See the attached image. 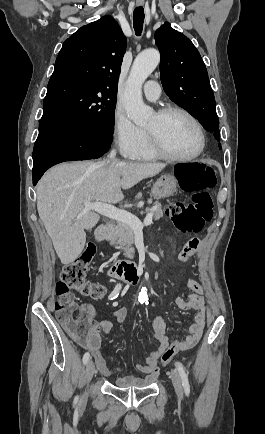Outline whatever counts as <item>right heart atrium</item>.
<instances>
[{
    "mask_svg": "<svg viewBox=\"0 0 265 434\" xmlns=\"http://www.w3.org/2000/svg\"><path fill=\"white\" fill-rule=\"evenodd\" d=\"M116 115L110 125L113 133V148H118L121 159H131L133 154H137V145H131L133 141H140L142 137V125H135L126 112L124 103H119L115 108ZM122 131V132H120Z\"/></svg>",
    "mask_w": 265,
    "mask_h": 434,
    "instance_id": "1",
    "label": "right heart atrium"
}]
</instances>
